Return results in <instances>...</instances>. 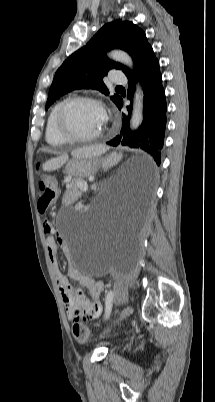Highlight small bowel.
Listing matches in <instances>:
<instances>
[{"label":"small bowel","mask_w":215,"mask_h":402,"mask_svg":"<svg viewBox=\"0 0 215 402\" xmlns=\"http://www.w3.org/2000/svg\"><path fill=\"white\" fill-rule=\"evenodd\" d=\"M43 229L48 235L47 251L69 319L78 321L98 318L102 313L100 297L105 289L104 282L83 275L75 266L69 268L67 276L63 274L58 265V247L65 251L67 249L66 242L49 221H44ZM69 278L86 289L90 298H87L81 290H74L69 283Z\"/></svg>","instance_id":"c3829d8e"}]
</instances>
